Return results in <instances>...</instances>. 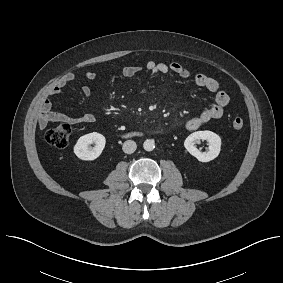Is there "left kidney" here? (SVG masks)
<instances>
[{"label": "left kidney", "instance_id": "1", "mask_svg": "<svg viewBox=\"0 0 283 283\" xmlns=\"http://www.w3.org/2000/svg\"><path fill=\"white\" fill-rule=\"evenodd\" d=\"M200 140L208 141L209 147L207 152H200L196 148L195 144ZM184 146L191 155L198 159V161L209 162L214 160L219 155L221 150V138L212 131H197L190 134L186 138L184 141Z\"/></svg>", "mask_w": 283, "mask_h": 283}]
</instances>
